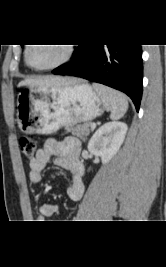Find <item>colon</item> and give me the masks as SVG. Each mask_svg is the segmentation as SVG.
<instances>
[{
	"label": "colon",
	"mask_w": 166,
	"mask_h": 267,
	"mask_svg": "<svg viewBox=\"0 0 166 267\" xmlns=\"http://www.w3.org/2000/svg\"><path fill=\"white\" fill-rule=\"evenodd\" d=\"M19 148L25 157L33 158L36 151V143L34 139L24 136L19 140Z\"/></svg>",
	"instance_id": "1"
}]
</instances>
